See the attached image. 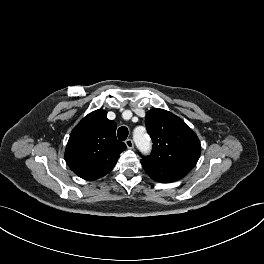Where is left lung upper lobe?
<instances>
[{"label":"left lung upper lobe","instance_id":"1","mask_svg":"<svg viewBox=\"0 0 264 264\" xmlns=\"http://www.w3.org/2000/svg\"><path fill=\"white\" fill-rule=\"evenodd\" d=\"M145 125L153 141L150 156L142 159L190 172L199 159L201 145L197 135L179 117L163 109L147 112Z\"/></svg>","mask_w":264,"mask_h":264}]
</instances>
